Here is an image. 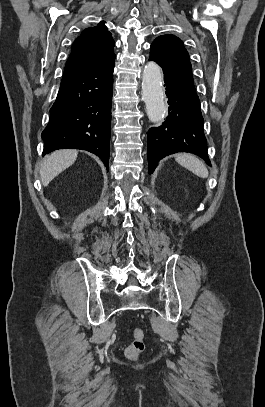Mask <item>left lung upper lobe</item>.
Returning a JSON list of instances; mask_svg holds the SVG:
<instances>
[{
  "mask_svg": "<svg viewBox=\"0 0 265 407\" xmlns=\"http://www.w3.org/2000/svg\"><path fill=\"white\" fill-rule=\"evenodd\" d=\"M150 59L157 62L163 72L194 86L189 54L180 38L174 35L157 37L150 48Z\"/></svg>",
  "mask_w": 265,
  "mask_h": 407,
  "instance_id": "1",
  "label": "left lung upper lobe"
}]
</instances>
